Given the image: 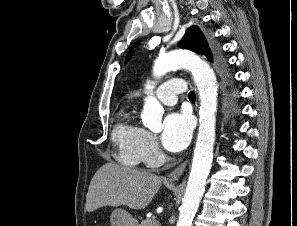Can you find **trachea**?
Here are the masks:
<instances>
[{
	"mask_svg": "<svg viewBox=\"0 0 297 226\" xmlns=\"http://www.w3.org/2000/svg\"><path fill=\"white\" fill-rule=\"evenodd\" d=\"M190 101H195L196 95L194 91H191L188 95Z\"/></svg>",
	"mask_w": 297,
	"mask_h": 226,
	"instance_id": "1",
	"label": "trachea"
}]
</instances>
